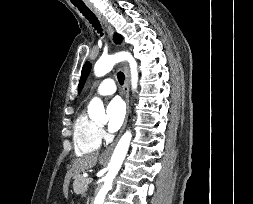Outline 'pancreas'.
<instances>
[{
  "instance_id": "obj_1",
  "label": "pancreas",
  "mask_w": 253,
  "mask_h": 204,
  "mask_svg": "<svg viewBox=\"0 0 253 204\" xmlns=\"http://www.w3.org/2000/svg\"><path fill=\"white\" fill-rule=\"evenodd\" d=\"M88 178H85L83 176L77 177L74 185V192L76 194H84L87 191L89 183L87 182Z\"/></svg>"
}]
</instances>
